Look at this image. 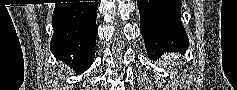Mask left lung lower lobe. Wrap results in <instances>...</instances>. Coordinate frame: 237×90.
<instances>
[{
    "instance_id": "0a47b994",
    "label": "left lung lower lobe",
    "mask_w": 237,
    "mask_h": 90,
    "mask_svg": "<svg viewBox=\"0 0 237 90\" xmlns=\"http://www.w3.org/2000/svg\"><path fill=\"white\" fill-rule=\"evenodd\" d=\"M137 5L150 58L170 50L186 51L189 42L181 23L180 0H137Z\"/></svg>"
}]
</instances>
